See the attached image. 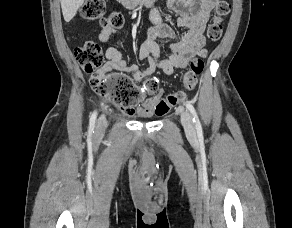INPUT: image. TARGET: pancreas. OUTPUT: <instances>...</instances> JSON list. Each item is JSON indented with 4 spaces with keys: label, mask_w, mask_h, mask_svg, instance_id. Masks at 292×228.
Here are the masks:
<instances>
[{
    "label": "pancreas",
    "mask_w": 292,
    "mask_h": 228,
    "mask_svg": "<svg viewBox=\"0 0 292 228\" xmlns=\"http://www.w3.org/2000/svg\"><path fill=\"white\" fill-rule=\"evenodd\" d=\"M122 2H127V1H130V0H121ZM131 1H136V0H131Z\"/></svg>",
    "instance_id": "pancreas-1"
}]
</instances>
